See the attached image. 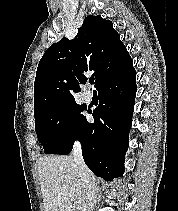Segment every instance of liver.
Returning <instances> with one entry per match:
<instances>
[{
	"mask_svg": "<svg viewBox=\"0 0 178 211\" xmlns=\"http://www.w3.org/2000/svg\"><path fill=\"white\" fill-rule=\"evenodd\" d=\"M38 172L45 211H82L85 188L72 156L40 158Z\"/></svg>",
	"mask_w": 178,
	"mask_h": 211,
	"instance_id": "obj_1",
	"label": "liver"
}]
</instances>
